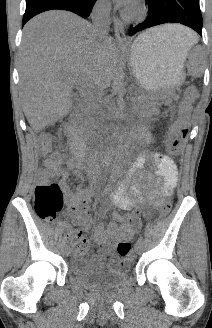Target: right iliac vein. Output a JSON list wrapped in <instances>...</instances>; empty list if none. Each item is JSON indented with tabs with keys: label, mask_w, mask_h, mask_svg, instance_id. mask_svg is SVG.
<instances>
[{
	"label": "right iliac vein",
	"mask_w": 212,
	"mask_h": 328,
	"mask_svg": "<svg viewBox=\"0 0 212 328\" xmlns=\"http://www.w3.org/2000/svg\"><path fill=\"white\" fill-rule=\"evenodd\" d=\"M63 254L65 256H69V254H70V248L68 246H64L63 247Z\"/></svg>",
	"instance_id": "obj_1"
}]
</instances>
